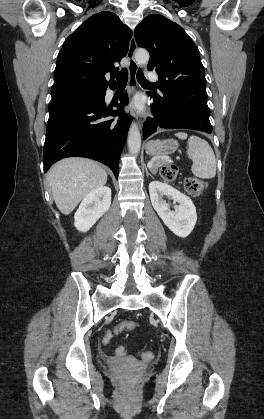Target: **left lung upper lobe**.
Masks as SVG:
<instances>
[{"label":"left lung upper lobe","mask_w":264,"mask_h":419,"mask_svg":"<svg viewBox=\"0 0 264 419\" xmlns=\"http://www.w3.org/2000/svg\"><path fill=\"white\" fill-rule=\"evenodd\" d=\"M135 38L149 51L148 70L157 72L163 91L206 86L199 50L178 24L162 15H149L137 25Z\"/></svg>","instance_id":"obj_1"}]
</instances>
